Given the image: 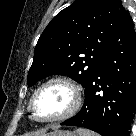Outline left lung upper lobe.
<instances>
[{
    "label": "left lung upper lobe",
    "mask_w": 136,
    "mask_h": 136,
    "mask_svg": "<svg viewBox=\"0 0 136 136\" xmlns=\"http://www.w3.org/2000/svg\"><path fill=\"white\" fill-rule=\"evenodd\" d=\"M127 14L120 0H76L60 11L37 42L28 85L64 74L85 88Z\"/></svg>",
    "instance_id": "left-lung-upper-lobe-1"
}]
</instances>
